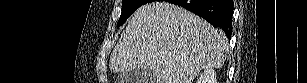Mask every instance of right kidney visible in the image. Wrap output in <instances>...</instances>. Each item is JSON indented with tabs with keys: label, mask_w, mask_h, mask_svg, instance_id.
I'll list each match as a JSON object with an SVG mask.
<instances>
[{
	"label": "right kidney",
	"mask_w": 307,
	"mask_h": 83,
	"mask_svg": "<svg viewBox=\"0 0 307 83\" xmlns=\"http://www.w3.org/2000/svg\"><path fill=\"white\" fill-rule=\"evenodd\" d=\"M197 83H217L216 72L212 68H206Z\"/></svg>",
	"instance_id": "ca27d5eb"
}]
</instances>
